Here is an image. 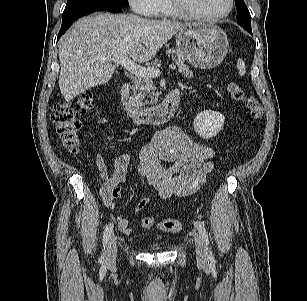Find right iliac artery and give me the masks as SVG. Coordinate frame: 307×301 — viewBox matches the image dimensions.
Segmentation results:
<instances>
[{
    "label": "right iliac artery",
    "instance_id": "1",
    "mask_svg": "<svg viewBox=\"0 0 307 301\" xmlns=\"http://www.w3.org/2000/svg\"><path fill=\"white\" fill-rule=\"evenodd\" d=\"M113 231V224L110 223L109 225H107V227L104 230V234H103V246H104V250H105V245L107 244L111 233ZM99 262L103 265L105 264V253L103 252L101 257L99 258Z\"/></svg>",
    "mask_w": 307,
    "mask_h": 301
}]
</instances>
